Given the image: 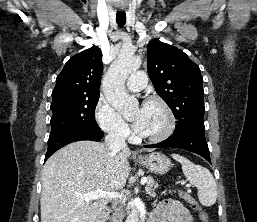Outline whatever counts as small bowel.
Masks as SVG:
<instances>
[{"label": "small bowel", "mask_w": 257, "mask_h": 222, "mask_svg": "<svg viewBox=\"0 0 257 222\" xmlns=\"http://www.w3.org/2000/svg\"><path fill=\"white\" fill-rule=\"evenodd\" d=\"M152 222H195L190 211L180 202L166 199L154 212Z\"/></svg>", "instance_id": "1"}]
</instances>
